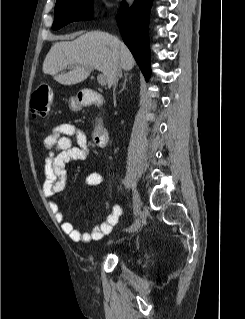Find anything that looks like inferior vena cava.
<instances>
[{
	"label": "inferior vena cava",
	"instance_id": "inferior-vena-cava-1",
	"mask_svg": "<svg viewBox=\"0 0 245 319\" xmlns=\"http://www.w3.org/2000/svg\"><path fill=\"white\" fill-rule=\"evenodd\" d=\"M121 76V68L118 67L113 75V80H112V84L114 85V89L116 88L117 86V83H118V80H119V77Z\"/></svg>",
	"mask_w": 245,
	"mask_h": 319
}]
</instances>
